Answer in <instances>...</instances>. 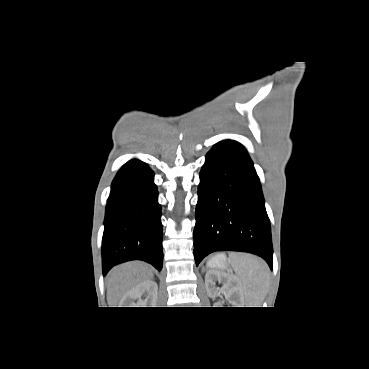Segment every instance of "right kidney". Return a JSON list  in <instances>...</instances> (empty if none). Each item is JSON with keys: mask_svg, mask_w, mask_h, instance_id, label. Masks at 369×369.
<instances>
[{"mask_svg": "<svg viewBox=\"0 0 369 369\" xmlns=\"http://www.w3.org/2000/svg\"><path fill=\"white\" fill-rule=\"evenodd\" d=\"M143 297V298H142ZM158 285L153 280L144 281L130 289L121 299L120 307H155Z\"/></svg>", "mask_w": 369, "mask_h": 369, "instance_id": "obj_1", "label": "right kidney"}]
</instances>
